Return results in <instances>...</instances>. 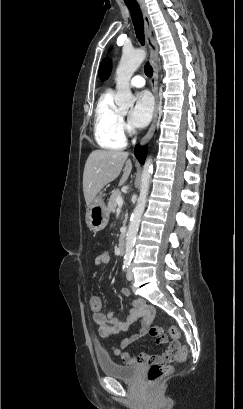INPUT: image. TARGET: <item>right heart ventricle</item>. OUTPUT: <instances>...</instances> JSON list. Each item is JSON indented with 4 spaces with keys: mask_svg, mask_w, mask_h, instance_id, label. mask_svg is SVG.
Segmentation results:
<instances>
[{
    "mask_svg": "<svg viewBox=\"0 0 243 409\" xmlns=\"http://www.w3.org/2000/svg\"><path fill=\"white\" fill-rule=\"evenodd\" d=\"M120 114L113 104V93L105 91L99 98L95 109L94 136L97 143L105 149H122L126 138L120 129Z\"/></svg>",
    "mask_w": 243,
    "mask_h": 409,
    "instance_id": "1",
    "label": "right heart ventricle"
}]
</instances>
